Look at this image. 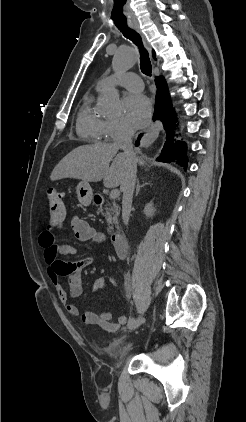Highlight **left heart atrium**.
I'll return each instance as SVG.
<instances>
[{"mask_svg": "<svg viewBox=\"0 0 246 422\" xmlns=\"http://www.w3.org/2000/svg\"><path fill=\"white\" fill-rule=\"evenodd\" d=\"M124 119L133 128H142L150 121L151 104L141 94H130L123 101Z\"/></svg>", "mask_w": 246, "mask_h": 422, "instance_id": "obj_1", "label": "left heart atrium"}]
</instances>
